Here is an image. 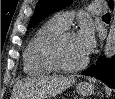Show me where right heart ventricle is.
<instances>
[{"label": "right heart ventricle", "instance_id": "right-heart-ventricle-1", "mask_svg": "<svg viewBox=\"0 0 115 99\" xmlns=\"http://www.w3.org/2000/svg\"><path fill=\"white\" fill-rule=\"evenodd\" d=\"M63 30L65 28L53 20L36 30L28 41L23 53V68L26 74L30 76H43L55 71L46 60L44 49L47 42Z\"/></svg>", "mask_w": 115, "mask_h": 99}]
</instances>
